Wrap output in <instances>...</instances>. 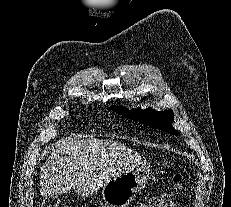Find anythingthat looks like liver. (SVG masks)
<instances>
[{"label": "liver", "mask_w": 231, "mask_h": 207, "mask_svg": "<svg viewBox=\"0 0 231 207\" xmlns=\"http://www.w3.org/2000/svg\"><path fill=\"white\" fill-rule=\"evenodd\" d=\"M140 163L138 153L118 143L81 136L61 139L41 168L40 194H65L73 188L78 195L89 196L114 175Z\"/></svg>", "instance_id": "obj_1"}]
</instances>
